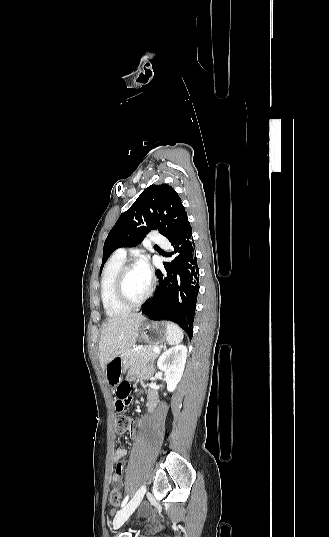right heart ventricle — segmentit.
<instances>
[{"instance_id":"obj_1","label":"right heart ventricle","mask_w":329,"mask_h":537,"mask_svg":"<svg viewBox=\"0 0 329 537\" xmlns=\"http://www.w3.org/2000/svg\"><path fill=\"white\" fill-rule=\"evenodd\" d=\"M124 263L125 259L113 255L102 272L100 295L104 310L109 316H120L129 311V308L119 302L116 295V278Z\"/></svg>"}]
</instances>
